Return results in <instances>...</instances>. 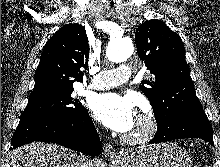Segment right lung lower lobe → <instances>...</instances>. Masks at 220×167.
Returning a JSON list of instances; mask_svg holds the SVG:
<instances>
[{
	"label": "right lung lower lobe",
	"instance_id": "obj_1",
	"mask_svg": "<svg viewBox=\"0 0 220 167\" xmlns=\"http://www.w3.org/2000/svg\"><path fill=\"white\" fill-rule=\"evenodd\" d=\"M33 141L56 143L91 156L101 152L98 133L85 108L68 117L49 115L21 120L10 150Z\"/></svg>",
	"mask_w": 220,
	"mask_h": 167
}]
</instances>
